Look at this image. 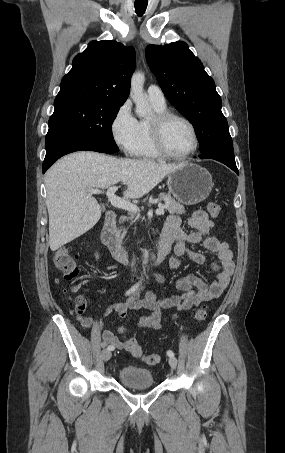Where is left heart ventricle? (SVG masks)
<instances>
[{
  "label": "left heart ventricle",
  "instance_id": "b2bd125f",
  "mask_svg": "<svg viewBox=\"0 0 285 453\" xmlns=\"http://www.w3.org/2000/svg\"><path fill=\"white\" fill-rule=\"evenodd\" d=\"M165 143L167 148L175 154L188 152L194 144L193 134L186 123L173 119L165 127Z\"/></svg>",
  "mask_w": 285,
  "mask_h": 453
}]
</instances>
